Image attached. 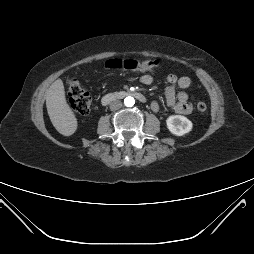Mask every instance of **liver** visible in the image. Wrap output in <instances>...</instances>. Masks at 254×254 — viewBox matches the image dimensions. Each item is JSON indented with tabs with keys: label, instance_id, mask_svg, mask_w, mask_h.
I'll use <instances>...</instances> for the list:
<instances>
[{
	"label": "liver",
	"instance_id": "6515ba94",
	"mask_svg": "<svg viewBox=\"0 0 254 254\" xmlns=\"http://www.w3.org/2000/svg\"><path fill=\"white\" fill-rule=\"evenodd\" d=\"M46 107L55 129L64 136H71L77 129V119L65 98V89L61 79L52 83L46 92Z\"/></svg>",
	"mask_w": 254,
	"mask_h": 254
}]
</instances>
